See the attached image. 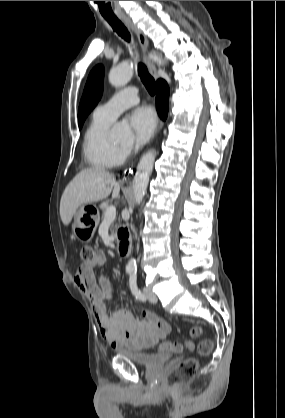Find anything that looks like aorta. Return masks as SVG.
Masks as SVG:
<instances>
[{
	"label": "aorta",
	"mask_w": 285,
	"mask_h": 418,
	"mask_svg": "<svg viewBox=\"0 0 285 418\" xmlns=\"http://www.w3.org/2000/svg\"><path fill=\"white\" fill-rule=\"evenodd\" d=\"M149 57L159 65L165 64V60H163L157 54L151 53ZM132 76L133 65L129 62H123L110 70L109 82L114 87H122L131 80ZM129 135L130 129L127 126L116 125L112 129V137L115 140L121 141ZM155 157V150H149L141 157L138 163L136 174L133 180L134 199L137 205H140L144 198L150 175L153 170ZM127 269L130 271H135L137 269V263L135 259L132 258L128 261Z\"/></svg>",
	"instance_id": "1"
}]
</instances>
